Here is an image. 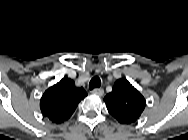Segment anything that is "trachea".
I'll use <instances>...</instances> for the list:
<instances>
[{"label":"trachea","instance_id":"1","mask_svg":"<svg viewBox=\"0 0 188 140\" xmlns=\"http://www.w3.org/2000/svg\"><path fill=\"white\" fill-rule=\"evenodd\" d=\"M101 86V80L99 77H93L89 83V88L92 90L93 88H99Z\"/></svg>","mask_w":188,"mask_h":140}]
</instances>
